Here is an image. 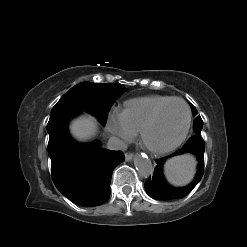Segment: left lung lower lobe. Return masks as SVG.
Returning a JSON list of instances; mask_svg holds the SVG:
<instances>
[{
	"instance_id": "0a47b994",
	"label": "left lung lower lobe",
	"mask_w": 247,
	"mask_h": 247,
	"mask_svg": "<svg viewBox=\"0 0 247 247\" xmlns=\"http://www.w3.org/2000/svg\"><path fill=\"white\" fill-rule=\"evenodd\" d=\"M204 150L205 145L203 138L201 136L194 135L180 150L173 154V156H175L182 153H191L198 160V171L196 177L193 182L186 187L171 188L167 186L164 183L161 174L163 164L166 161L167 157L156 160L157 166L155 167L153 176H151L145 183L147 194L153 199L158 200H174L184 198L193 190V188L199 183L202 178L204 171Z\"/></svg>"
}]
</instances>
